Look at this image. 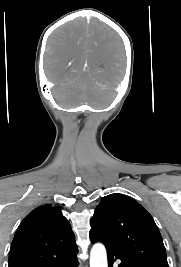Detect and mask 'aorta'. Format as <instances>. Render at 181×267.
I'll list each match as a JSON object with an SVG mask.
<instances>
[{
    "label": "aorta",
    "instance_id": "aorta-1",
    "mask_svg": "<svg viewBox=\"0 0 181 267\" xmlns=\"http://www.w3.org/2000/svg\"><path fill=\"white\" fill-rule=\"evenodd\" d=\"M90 267H108L107 253L102 243L93 245L90 252Z\"/></svg>",
    "mask_w": 181,
    "mask_h": 267
}]
</instances>
